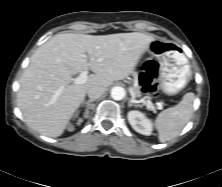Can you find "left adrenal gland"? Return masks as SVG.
<instances>
[{
    "label": "left adrenal gland",
    "instance_id": "a2214340",
    "mask_svg": "<svg viewBox=\"0 0 222 187\" xmlns=\"http://www.w3.org/2000/svg\"><path fill=\"white\" fill-rule=\"evenodd\" d=\"M128 106H129V107H132V106H135V105L132 103L131 100H129V102H128Z\"/></svg>",
    "mask_w": 222,
    "mask_h": 187
}]
</instances>
